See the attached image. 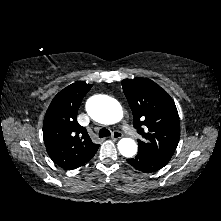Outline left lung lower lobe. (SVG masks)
I'll return each mask as SVG.
<instances>
[{"label": "left lung lower lobe", "mask_w": 221, "mask_h": 221, "mask_svg": "<svg viewBox=\"0 0 221 221\" xmlns=\"http://www.w3.org/2000/svg\"><path fill=\"white\" fill-rule=\"evenodd\" d=\"M127 161L137 170L145 173L155 172L166 165V163L151 158L148 155L143 154L141 152H138L136 157L127 159Z\"/></svg>", "instance_id": "0a47b994"}]
</instances>
